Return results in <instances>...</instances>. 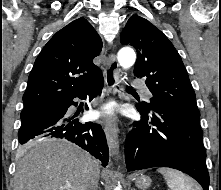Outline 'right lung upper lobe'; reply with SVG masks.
<instances>
[{
    "mask_svg": "<svg viewBox=\"0 0 221 190\" xmlns=\"http://www.w3.org/2000/svg\"><path fill=\"white\" fill-rule=\"evenodd\" d=\"M101 49L100 36L85 18L59 30L34 63L23 96L24 109L58 103L89 88L102 77L93 64Z\"/></svg>",
    "mask_w": 221,
    "mask_h": 190,
    "instance_id": "1",
    "label": "right lung upper lobe"
}]
</instances>
